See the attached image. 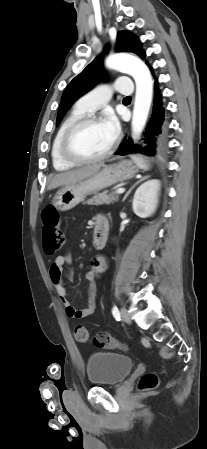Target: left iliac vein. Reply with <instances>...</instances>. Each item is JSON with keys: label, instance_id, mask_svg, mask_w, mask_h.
Returning a JSON list of instances; mask_svg holds the SVG:
<instances>
[{"label": "left iliac vein", "instance_id": "left-iliac-vein-1", "mask_svg": "<svg viewBox=\"0 0 207 449\" xmlns=\"http://www.w3.org/2000/svg\"><path fill=\"white\" fill-rule=\"evenodd\" d=\"M121 318L127 323L131 322L130 314L128 313V310L124 307L121 308Z\"/></svg>", "mask_w": 207, "mask_h": 449}]
</instances>
